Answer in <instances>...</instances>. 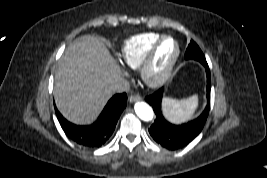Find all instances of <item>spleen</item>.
I'll use <instances>...</instances> for the list:
<instances>
[{
	"label": "spleen",
	"instance_id": "1",
	"mask_svg": "<svg viewBox=\"0 0 267 178\" xmlns=\"http://www.w3.org/2000/svg\"><path fill=\"white\" fill-rule=\"evenodd\" d=\"M198 106V96L193 95L182 100L164 98L163 112L166 118L173 123H182L190 120Z\"/></svg>",
	"mask_w": 267,
	"mask_h": 178
}]
</instances>
